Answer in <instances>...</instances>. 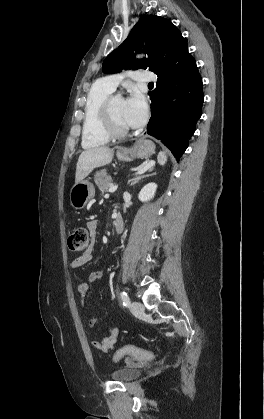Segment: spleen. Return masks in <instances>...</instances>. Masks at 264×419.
Instances as JSON below:
<instances>
[{"label": "spleen", "mask_w": 264, "mask_h": 419, "mask_svg": "<svg viewBox=\"0 0 264 419\" xmlns=\"http://www.w3.org/2000/svg\"><path fill=\"white\" fill-rule=\"evenodd\" d=\"M157 159H158V162H159L160 165H164L167 161V156H166L165 152H160L158 154Z\"/></svg>", "instance_id": "obj_1"}]
</instances>
